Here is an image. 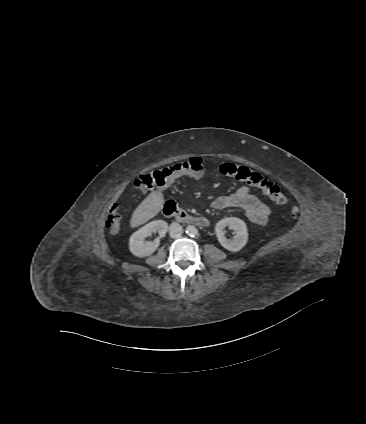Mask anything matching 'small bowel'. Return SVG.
<instances>
[{"label": "small bowel", "instance_id": "obj_1", "mask_svg": "<svg viewBox=\"0 0 366 424\" xmlns=\"http://www.w3.org/2000/svg\"><path fill=\"white\" fill-rule=\"evenodd\" d=\"M215 209L240 208L247 218L257 226H264L268 222L269 207L250 192L248 186H241L234 193L222 195L213 201Z\"/></svg>", "mask_w": 366, "mask_h": 424}]
</instances>
